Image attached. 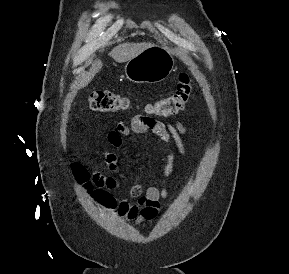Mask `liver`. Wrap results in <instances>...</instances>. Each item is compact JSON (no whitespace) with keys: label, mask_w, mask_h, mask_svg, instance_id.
<instances>
[{"label":"liver","mask_w":289,"mask_h":274,"mask_svg":"<svg viewBox=\"0 0 289 274\" xmlns=\"http://www.w3.org/2000/svg\"><path fill=\"white\" fill-rule=\"evenodd\" d=\"M150 43H122L116 46L111 52V57L119 62L123 63L126 61H129L130 59L136 57L138 54H140L142 51L150 47ZM103 66V63L101 60H96L89 71L81 76V78L78 81L79 88H83L87 86L91 80L94 78L96 73H98Z\"/></svg>","instance_id":"6515ba94"}]
</instances>
